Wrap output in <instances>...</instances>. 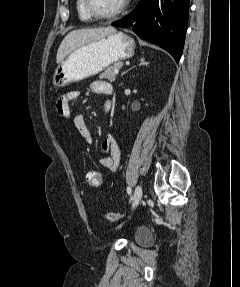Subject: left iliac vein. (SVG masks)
I'll return each mask as SVG.
<instances>
[{"label":"left iliac vein","mask_w":240,"mask_h":287,"mask_svg":"<svg viewBox=\"0 0 240 287\" xmlns=\"http://www.w3.org/2000/svg\"><path fill=\"white\" fill-rule=\"evenodd\" d=\"M142 194H143L142 187L140 185H138L135 188L134 195H133V207H135L139 204V202L142 198Z\"/></svg>","instance_id":"obj_1"}]
</instances>
